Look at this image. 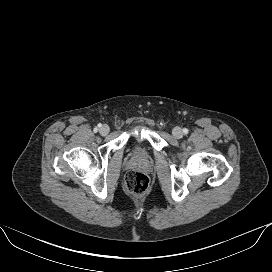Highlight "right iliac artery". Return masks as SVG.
<instances>
[{
  "instance_id": "right-iliac-artery-1",
  "label": "right iliac artery",
  "mask_w": 272,
  "mask_h": 272,
  "mask_svg": "<svg viewBox=\"0 0 272 272\" xmlns=\"http://www.w3.org/2000/svg\"><path fill=\"white\" fill-rule=\"evenodd\" d=\"M98 127H101V124H99ZM95 131H97V129H95Z\"/></svg>"
}]
</instances>
